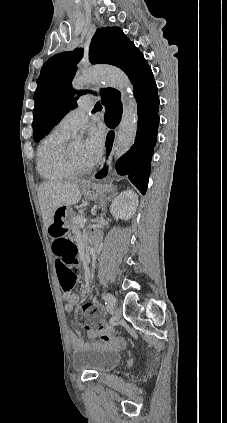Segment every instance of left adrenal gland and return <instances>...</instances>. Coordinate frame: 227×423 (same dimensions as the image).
I'll return each mask as SVG.
<instances>
[{
	"label": "left adrenal gland",
	"mask_w": 227,
	"mask_h": 423,
	"mask_svg": "<svg viewBox=\"0 0 227 423\" xmlns=\"http://www.w3.org/2000/svg\"><path fill=\"white\" fill-rule=\"evenodd\" d=\"M106 206H107V204H102V211H103V215H105V213H106Z\"/></svg>",
	"instance_id": "1"
}]
</instances>
